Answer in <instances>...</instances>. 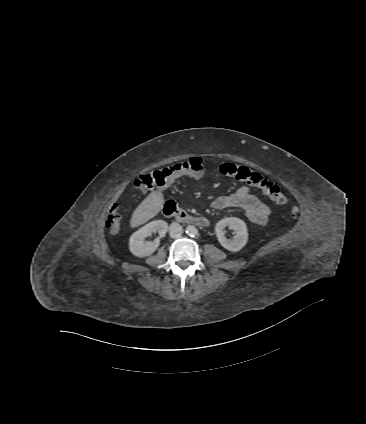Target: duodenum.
<instances>
[{"label":"duodenum","mask_w":366,"mask_h":424,"mask_svg":"<svg viewBox=\"0 0 366 424\" xmlns=\"http://www.w3.org/2000/svg\"><path fill=\"white\" fill-rule=\"evenodd\" d=\"M164 215L169 218H174L178 222L196 225L199 227H207L209 221L203 216H191L180 209L174 202L165 203L163 208Z\"/></svg>","instance_id":"duodenum-1"}]
</instances>
